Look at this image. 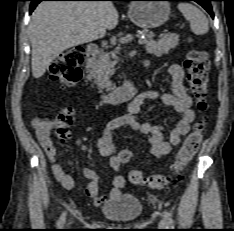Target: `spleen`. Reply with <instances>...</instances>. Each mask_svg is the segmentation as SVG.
Returning <instances> with one entry per match:
<instances>
[{"label":"spleen","mask_w":234,"mask_h":231,"mask_svg":"<svg viewBox=\"0 0 234 231\" xmlns=\"http://www.w3.org/2000/svg\"><path fill=\"white\" fill-rule=\"evenodd\" d=\"M178 9L190 22V28L194 34L203 35L208 32V19L197 7L190 3H179Z\"/></svg>","instance_id":"3e777b00"}]
</instances>
